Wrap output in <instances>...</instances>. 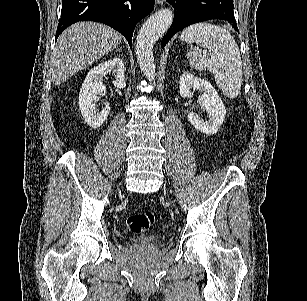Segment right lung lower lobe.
<instances>
[{
  "mask_svg": "<svg viewBox=\"0 0 307 301\" xmlns=\"http://www.w3.org/2000/svg\"><path fill=\"white\" fill-rule=\"evenodd\" d=\"M155 0H62L56 39L71 24L93 20L119 31L132 46L136 23L154 8Z\"/></svg>",
  "mask_w": 307,
  "mask_h": 301,
  "instance_id": "1",
  "label": "right lung lower lobe"
}]
</instances>
